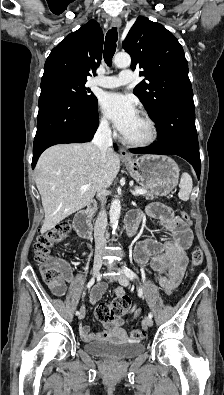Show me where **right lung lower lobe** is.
Returning a JSON list of instances; mask_svg holds the SVG:
<instances>
[{"instance_id":"1","label":"right lung lower lobe","mask_w":224,"mask_h":395,"mask_svg":"<svg viewBox=\"0 0 224 395\" xmlns=\"http://www.w3.org/2000/svg\"><path fill=\"white\" fill-rule=\"evenodd\" d=\"M99 125L97 102L82 105L54 90H41L32 168L48 147L91 141Z\"/></svg>"}]
</instances>
